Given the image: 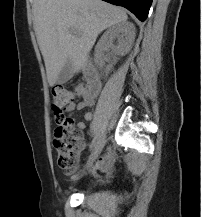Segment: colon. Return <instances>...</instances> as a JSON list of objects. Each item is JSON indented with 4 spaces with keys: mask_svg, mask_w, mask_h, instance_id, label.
I'll list each match as a JSON object with an SVG mask.
<instances>
[{
    "mask_svg": "<svg viewBox=\"0 0 202 217\" xmlns=\"http://www.w3.org/2000/svg\"><path fill=\"white\" fill-rule=\"evenodd\" d=\"M77 94L64 88L52 92L51 107L56 116L54 146L59 167L68 174L74 173L80 163V152L85 145L84 133L71 123L66 116L69 107L74 105Z\"/></svg>",
    "mask_w": 202,
    "mask_h": 217,
    "instance_id": "5ec220e1",
    "label": "colon"
}]
</instances>
